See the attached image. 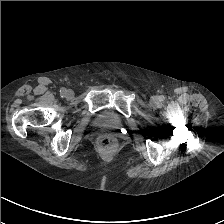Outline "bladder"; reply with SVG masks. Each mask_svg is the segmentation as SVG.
<instances>
[{
    "label": "bladder",
    "mask_w": 224,
    "mask_h": 224,
    "mask_svg": "<svg viewBox=\"0 0 224 224\" xmlns=\"http://www.w3.org/2000/svg\"><path fill=\"white\" fill-rule=\"evenodd\" d=\"M93 125L103 130L114 131L122 127V120L114 110L103 109L95 115Z\"/></svg>",
    "instance_id": "1"
}]
</instances>
